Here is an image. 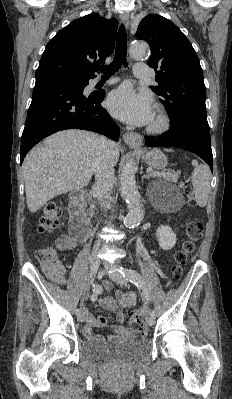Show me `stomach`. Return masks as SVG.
I'll list each match as a JSON object with an SVG mask.
<instances>
[{
	"mask_svg": "<svg viewBox=\"0 0 232 399\" xmlns=\"http://www.w3.org/2000/svg\"><path fill=\"white\" fill-rule=\"evenodd\" d=\"M144 160L148 166L155 168V170H163L168 164L165 154H163L161 150H157V148L150 150V152H146Z\"/></svg>",
	"mask_w": 232,
	"mask_h": 399,
	"instance_id": "0dacf381",
	"label": "stomach"
}]
</instances>
